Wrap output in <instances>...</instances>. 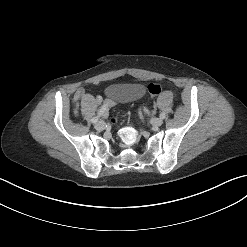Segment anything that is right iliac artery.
I'll return each instance as SVG.
<instances>
[{
	"label": "right iliac artery",
	"mask_w": 247,
	"mask_h": 247,
	"mask_svg": "<svg viewBox=\"0 0 247 247\" xmlns=\"http://www.w3.org/2000/svg\"><path fill=\"white\" fill-rule=\"evenodd\" d=\"M109 104H110V102H106V103L102 106V108L100 109L99 115L96 116V117H93V118L91 119V122H92L93 124L97 123L99 117L108 111V106H109Z\"/></svg>",
	"instance_id": "right-iliac-artery-1"
}]
</instances>
